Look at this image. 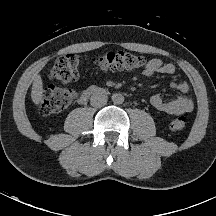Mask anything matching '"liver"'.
<instances>
[{"mask_svg":"<svg viewBox=\"0 0 216 216\" xmlns=\"http://www.w3.org/2000/svg\"><path fill=\"white\" fill-rule=\"evenodd\" d=\"M43 82L40 75L34 77L32 84L31 98L35 105H38L43 98Z\"/></svg>","mask_w":216,"mask_h":216,"instance_id":"1","label":"liver"}]
</instances>
